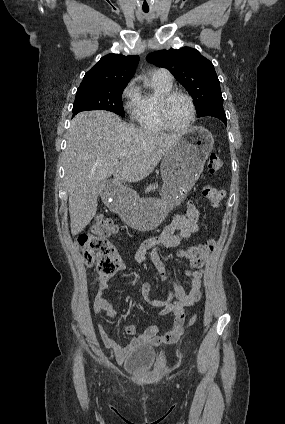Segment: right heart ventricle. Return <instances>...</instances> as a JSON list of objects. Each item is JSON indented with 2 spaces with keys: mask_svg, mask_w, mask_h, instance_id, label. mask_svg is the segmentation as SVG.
I'll use <instances>...</instances> for the list:
<instances>
[{
  "mask_svg": "<svg viewBox=\"0 0 285 424\" xmlns=\"http://www.w3.org/2000/svg\"><path fill=\"white\" fill-rule=\"evenodd\" d=\"M172 90V83L165 82L152 75L147 89H139V102L133 119L148 132L160 133L167 129L158 116V102L162 95Z\"/></svg>",
  "mask_w": 285,
  "mask_h": 424,
  "instance_id": "obj_1",
  "label": "right heart ventricle"
}]
</instances>
